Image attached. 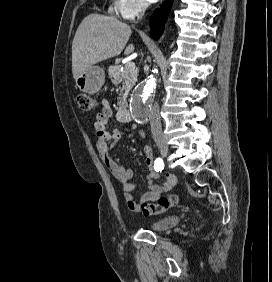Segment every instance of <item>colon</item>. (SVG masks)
Returning <instances> with one entry per match:
<instances>
[{"mask_svg": "<svg viewBox=\"0 0 272 282\" xmlns=\"http://www.w3.org/2000/svg\"><path fill=\"white\" fill-rule=\"evenodd\" d=\"M78 108L83 112H89L94 108V99L86 93H78L76 96ZM178 196L159 198L156 202H146L141 207V213L145 216L157 215L175 207L178 204Z\"/></svg>", "mask_w": 272, "mask_h": 282, "instance_id": "5ec220e1", "label": "colon"}]
</instances>
